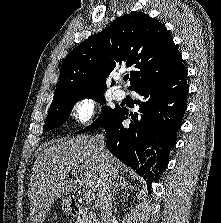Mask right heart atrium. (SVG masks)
Segmentation results:
<instances>
[{"label": "right heart atrium", "instance_id": "d8ad5b80", "mask_svg": "<svg viewBox=\"0 0 221 223\" xmlns=\"http://www.w3.org/2000/svg\"><path fill=\"white\" fill-rule=\"evenodd\" d=\"M97 115V102L92 96L85 95L79 97L70 106L69 119L78 127H87L91 125Z\"/></svg>", "mask_w": 221, "mask_h": 223}]
</instances>
